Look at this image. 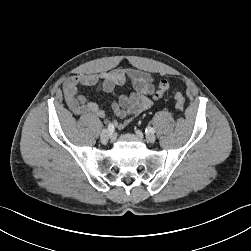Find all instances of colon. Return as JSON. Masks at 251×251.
I'll return each instance as SVG.
<instances>
[{
	"label": "colon",
	"mask_w": 251,
	"mask_h": 251,
	"mask_svg": "<svg viewBox=\"0 0 251 251\" xmlns=\"http://www.w3.org/2000/svg\"><path fill=\"white\" fill-rule=\"evenodd\" d=\"M174 101H175L176 108L179 111L183 112L185 108V99L180 92H176L174 94Z\"/></svg>",
	"instance_id": "colon-1"
}]
</instances>
